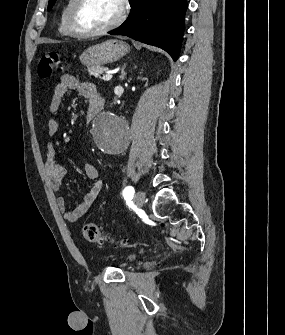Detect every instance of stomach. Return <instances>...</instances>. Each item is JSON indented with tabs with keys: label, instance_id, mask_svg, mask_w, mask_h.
Instances as JSON below:
<instances>
[{
	"label": "stomach",
	"instance_id": "1",
	"mask_svg": "<svg viewBox=\"0 0 285 335\" xmlns=\"http://www.w3.org/2000/svg\"><path fill=\"white\" fill-rule=\"evenodd\" d=\"M130 48L122 40H106L102 44H95L84 50L80 56V62L83 66H96L103 68L104 64H113L123 56H126Z\"/></svg>",
	"mask_w": 285,
	"mask_h": 335
}]
</instances>
